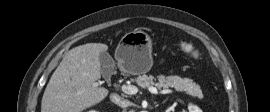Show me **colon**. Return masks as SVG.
Returning <instances> with one entry per match:
<instances>
[{
	"label": "colon",
	"mask_w": 270,
	"mask_h": 112,
	"mask_svg": "<svg viewBox=\"0 0 270 112\" xmlns=\"http://www.w3.org/2000/svg\"><path fill=\"white\" fill-rule=\"evenodd\" d=\"M181 49L185 50V51H188L189 47L187 45H185V44H181Z\"/></svg>",
	"instance_id": "obj_1"
}]
</instances>
